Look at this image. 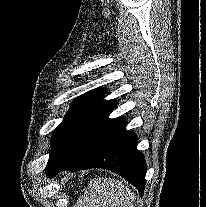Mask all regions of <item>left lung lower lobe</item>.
Segmentation results:
<instances>
[{
    "instance_id": "1",
    "label": "left lung lower lobe",
    "mask_w": 206,
    "mask_h": 207,
    "mask_svg": "<svg viewBox=\"0 0 206 207\" xmlns=\"http://www.w3.org/2000/svg\"><path fill=\"white\" fill-rule=\"evenodd\" d=\"M113 108L115 105L96 122L68 160L52 166L47 173L50 177L61 170L104 168L119 174L143 194L147 171L144 156L137 150V136L126 130V120L109 118Z\"/></svg>"
}]
</instances>
